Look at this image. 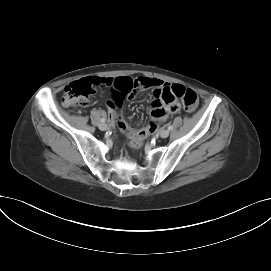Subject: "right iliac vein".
Wrapping results in <instances>:
<instances>
[{"label": "right iliac vein", "mask_w": 271, "mask_h": 271, "mask_svg": "<svg viewBox=\"0 0 271 271\" xmlns=\"http://www.w3.org/2000/svg\"><path fill=\"white\" fill-rule=\"evenodd\" d=\"M108 126L106 123H101L99 124V129L102 130V131H105L107 130Z\"/></svg>", "instance_id": "obj_1"}]
</instances>
